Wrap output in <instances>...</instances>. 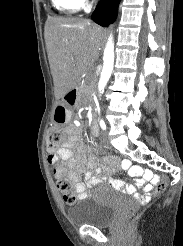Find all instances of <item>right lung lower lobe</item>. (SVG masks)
Listing matches in <instances>:
<instances>
[{
  "mask_svg": "<svg viewBox=\"0 0 183 246\" xmlns=\"http://www.w3.org/2000/svg\"><path fill=\"white\" fill-rule=\"evenodd\" d=\"M120 0H100L92 19L101 26H108L116 19Z\"/></svg>",
  "mask_w": 183,
  "mask_h": 246,
  "instance_id": "98d812e1",
  "label": "right lung lower lobe"
}]
</instances>
